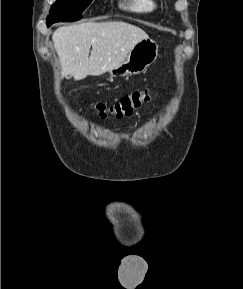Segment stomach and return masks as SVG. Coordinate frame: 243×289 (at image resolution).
<instances>
[{"mask_svg":"<svg viewBox=\"0 0 243 289\" xmlns=\"http://www.w3.org/2000/svg\"><path fill=\"white\" fill-rule=\"evenodd\" d=\"M158 46L150 38L139 41L126 59L116 68L109 70L111 77L137 75L144 72L157 58Z\"/></svg>","mask_w":243,"mask_h":289,"instance_id":"0dacf381","label":"stomach"}]
</instances>
